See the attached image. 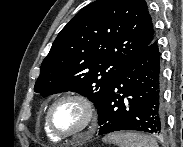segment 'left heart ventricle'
Instances as JSON below:
<instances>
[{"label": "left heart ventricle", "instance_id": "1", "mask_svg": "<svg viewBox=\"0 0 183 147\" xmlns=\"http://www.w3.org/2000/svg\"><path fill=\"white\" fill-rule=\"evenodd\" d=\"M85 120L86 112L84 108L73 100L60 102L51 113L52 125L60 133H70L80 129Z\"/></svg>", "mask_w": 183, "mask_h": 147}]
</instances>
